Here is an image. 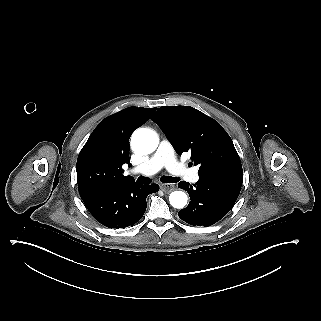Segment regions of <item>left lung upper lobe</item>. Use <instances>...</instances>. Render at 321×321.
<instances>
[{
	"label": "left lung upper lobe",
	"mask_w": 321,
	"mask_h": 321,
	"mask_svg": "<svg viewBox=\"0 0 321 321\" xmlns=\"http://www.w3.org/2000/svg\"><path fill=\"white\" fill-rule=\"evenodd\" d=\"M175 149L190 151L198 175L219 169L242 168L240 157L222 126L189 106L160 107L151 117Z\"/></svg>",
	"instance_id": "5c2ea615"
}]
</instances>
